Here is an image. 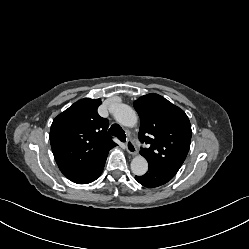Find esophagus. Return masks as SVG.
I'll return each mask as SVG.
<instances>
[{
	"instance_id": "obj_1",
	"label": "esophagus",
	"mask_w": 249,
	"mask_h": 249,
	"mask_svg": "<svg viewBox=\"0 0 249 249\" xmlns=\"http://www.w3.org/2000/svg\"><path fill=\"white\" fill-rule=\"evenodd\" d=\"M126 150L131 155H136L137 154V148H136L134 142L131 139H128L127 142H126Z\"/></svg>"
}]
</instances>
